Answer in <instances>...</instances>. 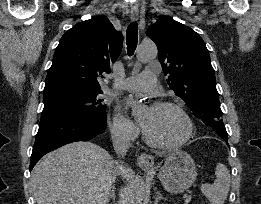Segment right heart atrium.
Wrapping results in <instances>:
<instances>
[{
	"mask_svg": "<svg viewBox=\"0 0 261 204\" xmlns=\"http://www.w3.org/2000/svg\"><path fill=\"white\" fill-rule=\"evenodd\" d=\"M112 135L122 141H133L139 135V128L122 113L117 111L110 125Z\"/></svg>",
	"mask_w": 261,
	"mask_h": 204,
	"instance_id": "1",
	"label": "right heart atrium"
}]
</instances>
